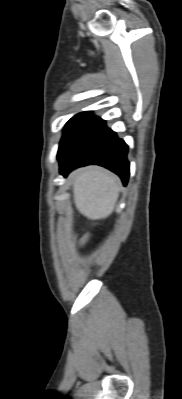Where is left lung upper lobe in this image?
<instances>
[{"label": "left lung upper lobe", "instance_id": "left-lung-upper-lobe-1", "mask_svg": "<svg viewBox=\"0 0 182 399\" xmlns=\"http://www.w3.org/2000/svg\"><path fill=\"white\" fill-rule=\"evenodd\" d=\"M91 112H81L71 118L65 125L63 137L59 143L58 154L57 157L62 153V151L67 146L70 137L74 133V131L78 128V126L83 122V120L89 116Z\"/></svg>", "mask_w": 182, "mask_h": 399}]
</instances>
